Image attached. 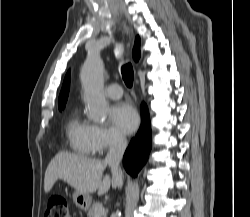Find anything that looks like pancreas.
I'll return each instance as SVG.
<instances>
[{"label": "pancreas", "mask_w": 250, "mask_h": 217, "mask_svg": "<svg viewBox=\"0 0 250 217\" xmlns=\"http://www.w3.org/2000/svg\"><path fill=\"white\" fill-rule=\"evenodd\" d=\"M102 204L100 202L93 203L92 207L88 210L87 216L88 217H95L96 210L101 207ZM101 217H106V213L102 215Z\"/></svg>", "instance_id": "cf45deb5"}]
</instances>
